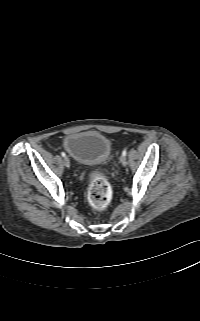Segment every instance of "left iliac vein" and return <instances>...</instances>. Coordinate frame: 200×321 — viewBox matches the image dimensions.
I'll list each match as a JSON object with an SVG mask.
<instances>
[{
	"label": "left iliac vein",
	"instance_id": "obj_1",
	"mask_svg": "<svg viewBox=\"0 0 200 321\" xmlns=\"http://www.w3.org/2000/svg\"><path fill=\"white\" fill-rule=\"evenodd\" d=\"M120 162H121V164H122L123 166H126V165H127L126 157L122 155V156L120 157Z\"/></svg>",
	"mask_w": 200,
	"mask_h": 321
}]
</instances>
